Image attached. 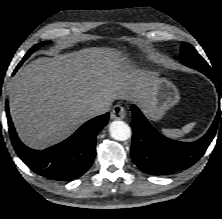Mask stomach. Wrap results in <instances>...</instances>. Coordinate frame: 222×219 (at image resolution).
<instances>
[{"label":"stomach","instance_id":"stomach-1","mask_svg":"<svg viewBox=\"0 0 222 219\" xmlns=\"http://www.w3.org/2000/svg\"><path fill=\"white\" fill-rule=\"evenodd\" d=\"M180 99L177 87L168 79L157 73L146 93L145 100L140 103L143 112L152 120L161 119L165 113Z\"/></svg>","mask_w":222,"mask_h":219}]
</instances>
